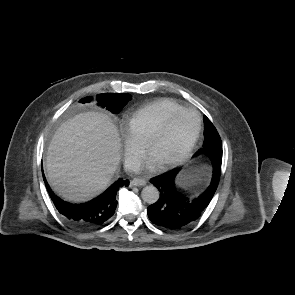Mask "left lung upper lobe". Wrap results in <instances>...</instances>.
Masks as SVG:
<instances>
[{"label":"left lung upper lobe","mask_w":295,"mask_h":295,"mask_svg":"<svg viewBox=\"0 0 295 295\" xmlns=\"http://www.w3.org/2000/svg\"><path fill=\"white\" fill-rule=\"evenodd\" d=\"M204 137L203 149L198 152V155L207 154L213 151L222 154L221 138L216 128L206 116H204Z\"/></svg>","instance_id":"left-lung-upper-lobe-1"}]
</instances>
